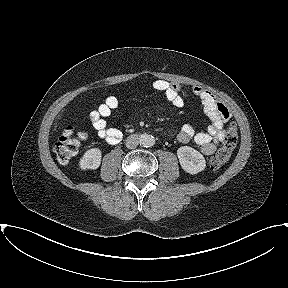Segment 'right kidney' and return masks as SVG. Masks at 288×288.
Instances as JSON below:
<instances>
[{
  "label": "right kidney",
  "instance_id": "obj_1",
  "mask_svg": "<svg viewBox=\"0 0 288 288\" xmlns=\"http://www.w3.org/2000/svg\"><path fill=\"white\" fill-rule=\"evenodd\" d=\"M102 152L98 148H91L86 151L80 159L81 169H97L101 163Z\"/></svg>",
  "mask_w": 288,
  "mask_h": 288
}]
</instances>
